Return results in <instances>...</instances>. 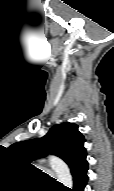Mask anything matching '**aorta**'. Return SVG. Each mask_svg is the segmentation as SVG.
<instances>
[{"label":"aorta","instance_id":"762f6f07","mask_svg":"<svg viewBox=\"0 0 114 191\" xmlns=\"http://www.w3.org/2000/svg\"><path fill=\"white\" fill-rule=\"evenodd\" d=\"M48 159L50 166L56 173L58 181L62 183L64 186L72 188L73 179L70 173V169L66 165V163L56 156H50Z\"/></svg>","mask_w":114,"mask_h":191}]
</instances>
